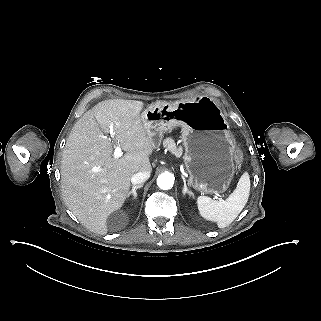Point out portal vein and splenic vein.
I'll return each instance as SVG.
<instances>
[{
	"label": "portal vein and splenic vein",
	"mask_w": 321,
	"mask_h": 321,
	"mask_svg": "<svg viewBox=\"0 0 321 321\" xmlns=\"http://www.w3.org/2000/svg\"><path fill=\"white\" fill-rule=\"evenodd\" d=\"M110 135L112 136L113 135V125L110 126ZM123 155V152L120 148V146H117L114 150V158H120L121 156ZM97 169L94 168V171H96ZM211 201L212 202H217L218 201V196L216 195V193H211Z\"/></svg>",
	"instance_id": "1"
}]
</instances>
